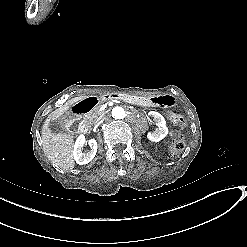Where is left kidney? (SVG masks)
Listing matches in <instances>:
<instances>
[{
    "mask_svg": "<svg viewBox=\"0 0 247 247\" xmlns=\"http://www.w3.org/2000/svg\"><path fill=\"white\" fill-rule=\"evenodd\" d=\"M149 115H152L156 120V124L158 125V129H156L152 133H148L147 137L150 141L159 142L163 138H165L168 134V128L166 126L165 119L163 116L157 112L151 111Z\"/></svg>",
    "mask_w": 247,
    "mask_h": 247,
    "instance_id": "1",
    "label": "left kidney"
}]
</instances>
